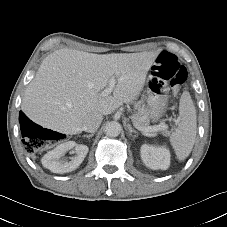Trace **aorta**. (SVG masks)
<instances>
[{
  "label": "aorta",
  "mask_w": 227,
  "mask_h": 227,
  "mask_svg": "<svg viewBox=\"0 0 227 227\" xmlns=\"http://www.w3.org/2000/svg\"><path fill=\"white\" fill-rule=\"evenodd\" d=\"M122 130L121 125L116 121H111L106 123L104 127V132L109 137H116L120 134Z\"/></svg>",
  "instance_id": "1"
}]
</instances>
